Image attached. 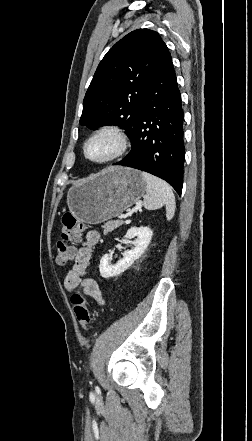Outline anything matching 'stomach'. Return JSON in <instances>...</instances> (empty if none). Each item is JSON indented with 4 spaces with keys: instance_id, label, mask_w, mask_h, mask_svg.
I'll list each match as a JSON object with an SVG mask.
<instances>
[{
    "instance_id": "obj_1",
    "label": "stomach",
    "mask_w": 252,
    "mask_h": 441,
    "mask_svg": "<svg viewBox=\"0 0 252 441\" xmlns=\"http://www.w3.org/2000/svg\"><path fill=\"white\" fill-rule=\"evenodd\" d=\"M141 172L109 167L71 187L67 194L70 212L81 222L99 224L119 216L145 193Z\"/></svg>"
}]
</instances>
